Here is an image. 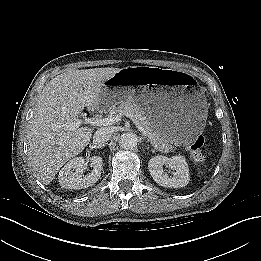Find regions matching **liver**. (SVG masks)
<instances>
[{"instance_id":"liver-1","label":"liver","mask_w":261,"mask_h":261,"mask_svg":"<svg viewBox=\"0 0 261 261\" xmlns=\"http://www.w3.org/2000/svg\"><path fill=\"white\" fill-rule=\"evenodd\" d=\"M120 70L112 67L68 70L43 88L27 132L29 159L43 184L49 185L59 169L89 144L93 128L70 130L68 125L84 107L101 108L105 82Z\"/></svg>"}]
</instances>
